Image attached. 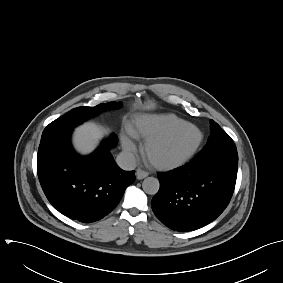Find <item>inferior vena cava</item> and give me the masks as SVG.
I'll return each mask as SVG.
<instances>
[{"instance_id": "602c4592", "label": "inferior vena cava", "mask_w": 283, "mask_h": 283, "mask_svg": "<svg viewBox=\"0 0 283 283\" xmlns=\"http://www.w3.org/2000/svg\"><path fill=\"white\" fill-rule=\"evenodd\" d=\"M116 163L124 170H133L136 167L135 156L130 152H121L116 158Z\"/></svg>"}]
</instances>
